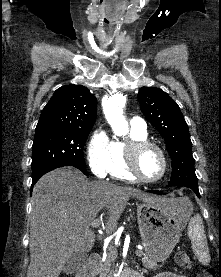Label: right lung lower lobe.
I'll list each match as a JSON object with an SVG mask.
<instances>
[{
    "instance_id": "1",
    "label": "right lung lower lobe",
    "mask_w": 221,
    "mask_h": 277,
    "mask_svg": "<svg viewBox=\"0 0 221 277\" xmlns=\"http://www.w3.org/2000/svg\"><path fill=\"white\" fill-rule=\"evenodd\" d=\"M76 168H78V167H76ZM78 169L81 170L85 175H87V172H86V171H84V170H82V169H80V168H78ZM38 179H39V178L33 179L32 186H31V191H32L33 186L35 185V183L38 181Z\"/></svg>"
}]
</instances>
